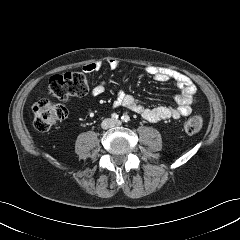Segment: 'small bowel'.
<instances>
[{
	"label": "small bowel",
	"mask_w": 240,
	"mask_h": 240,
	"mask_svg": "<svg viewBox=\"0 0 240 240\" xmlns=\"http://www.w3.org/2000/svg\"><path fill=\"white\" fill-rule=\"evenodd\" d=\"M106 63L111 69H117L120 66L119 61L115 58L107 59ZM102 66L103 63L101 61L89 62L83 67V70L86 73H95ZM145 72L157 82L165 83L173 80L176 83V86L180 90V94L175 97L177 106L150 107L135 96L119 90L113 102L114 107H124L149 122L178 119L191 114L197 89L186 75L175 70L155 66H147ZM105 89L106 83L102 81L92 88L91 94L94 97L100 96L104 93Z\"/></svg>",
	"instance_id": "small-bowel-1"
}]
</instances>
